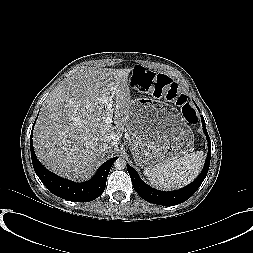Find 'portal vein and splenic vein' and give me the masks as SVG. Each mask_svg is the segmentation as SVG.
I'll return each instance as SVG.
<instances>
[{
  "mask_svg": "<svg viewBox=\"0 0 253 253\" xmlns=\"http://www.w3.org/2000/svg\"><path fill=\"white\" fill-rule=\"evenodd\" d=\"M106 105H107V112L105 114V116L103 117V121L105 124H111L112 123V118H113V113L114 110L112 108V98L106 99L105 100Z\"/></svg>",
  "mask_w": 253,
  "mask_h": 253,
  "instance_id": "obj_1",
  "label": "portal vein and splenic vein"
}]
</instances>
